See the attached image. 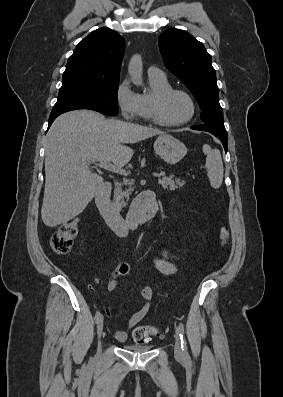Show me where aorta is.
<instances>
[{
	"label": "aorta",
	"mask_w": 283,
	"mask_h": 397,
	"mask_svg": "<svg viewBox=\"0 0 283 397\" xmlns=\"http://www.w3.org/2000/svg\"><path fill=\"white\" fill-rule=\"evenodd\" d=\"M128 73L130 75L132 82L135 85L142 84L143 65L140 55H134L131 58L128 66Z\"/></svg>",
	"instance_id": "obj_1"
}]
</instances>
